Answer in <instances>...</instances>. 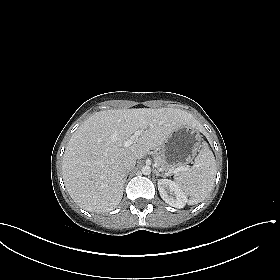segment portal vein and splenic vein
<instances>
[{"mask_svg": "<svg viewBox=\"0 0 280 280\" xmlns=\"http://www.w3.org/2000/svg\"><path fill=\"white\" fill-rule=\"evenodd\" d=\"M140 135V131H136L129 139H127L125 142H124V146L125 147H129L130 145L133 144V142L139 137ZM185 170H188V166H181V167H177L173 173H177L179 171H185Z\"/></svg>", "mask_w": 280, "mask_h": 280, "instance_id": "1", "label": "portal vein and splenic vein"}]
</instances>
